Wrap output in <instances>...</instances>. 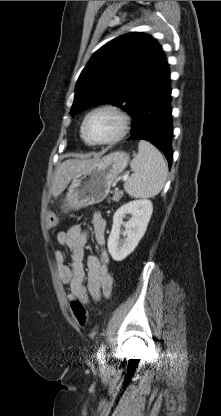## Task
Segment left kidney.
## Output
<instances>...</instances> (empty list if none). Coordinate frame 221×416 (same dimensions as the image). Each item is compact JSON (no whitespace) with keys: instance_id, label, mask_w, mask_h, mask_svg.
I'll use <instances>...</instances> for the list:
<instances>
[{"instance_id":"obj_1","label":"left kidney","mask_w":221,"mask_h":416,"mask_svg":"<svg viewBox=\"0 0 221 416\" xmlns=\"http://www.w3.org/2000/svg\"><path fill=\"white\" fill-rule=\"evenodd\" d=\"M153 212L150 200H134L122 205L113 216V225L108 237V251L115 261L124 260L137 247L144 236ZM131 214L128 222L123 218ZM125 227L122 233L124 239H120L121 226Z\"/></svg>"}]
</instances>
